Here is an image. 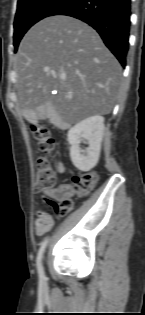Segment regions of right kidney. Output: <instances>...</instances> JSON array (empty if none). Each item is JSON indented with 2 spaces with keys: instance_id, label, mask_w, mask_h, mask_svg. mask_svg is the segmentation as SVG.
Returning <instances> with one entry per match:
<instances>
[{
  "instance_id": "ca27d5eb",
  "label": "right kidney",
  "mask_w": 145,
  "mask_h": 315,
  "mask_svg": "<svg viewBox=\"0 0 145 315\" xmlns=\"http://www.w3.org/2000/svg\"><path fill=\"white\" fill-rule=\"evenodd\" d=\"M104 133V118L100 115L88 117L68 131V142L71 145L70 157L74 166L80 171H89L96 166L101 150ZM89 144L85 154L81 153L80 142Z\"/></svg>"
}]
</instances>
